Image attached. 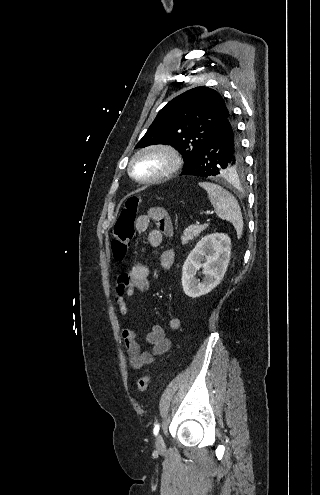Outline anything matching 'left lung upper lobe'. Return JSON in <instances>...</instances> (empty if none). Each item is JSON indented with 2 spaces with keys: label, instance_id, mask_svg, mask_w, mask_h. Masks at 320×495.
<instances>
[{
  "label": "left lung upper lobe",
  "instance_id": "1",
  "mask_svg": "<svg viewBox=\"0 0 320 495\" xmlns=\"http://www.w3.org/2000/svg\"><path fill=\"white\" fill-rule=\"evenodd\" d=\"M231 115L221 95L208 87H196L172 99L157 114L136 148L154 144L172 145L180 151L185 167L191 165L200 149ZM242 156L221 171L229 177L243 169Z\"/></svg>",
  "mask_w": 320,
  "mask_h": 495
}]
</instances>
